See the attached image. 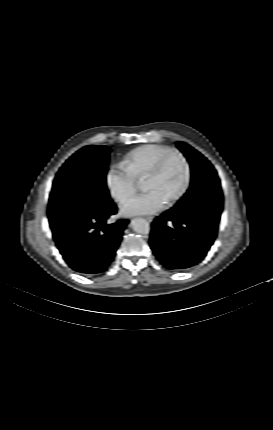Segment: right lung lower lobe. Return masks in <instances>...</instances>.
Returning <instances> with one entry per match:
<instances>
[{
    "mask_svg": "<svg viewBox=\"0 0 273 430\" xmlns=\"http://www.w3.org/2000/svg\"><path fill=\"white\" fill-rule=\"evenodd\" d=\"M116 212L113 204L51 225L56 246L73 270L93 276L108 269L128 222L119 220L107 224L108 217Z\"/></svg>",
    "mask_w": 273,
    "mask_h": 430,
    "instance_id": "1",
    "label": "right lung lower lobe"
}]
</instances>
